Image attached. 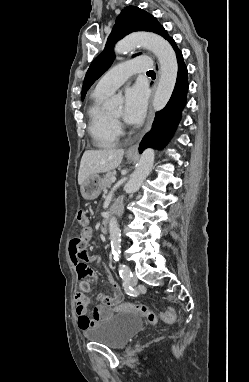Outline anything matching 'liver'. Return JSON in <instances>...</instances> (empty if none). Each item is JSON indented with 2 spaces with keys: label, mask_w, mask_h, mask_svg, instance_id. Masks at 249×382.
<instances>
[{
  "label": "liver",
  "mask_w": 249,
  "mask_h": 382,
  "mask_svg": "<svg viewBox=\"0 0 249 382\" xmlns=\"http://www.w3.org/2000/svg\"><path fill=\"white\" fill-rule=\"evenodd\" d=\"M124 155L123 149L87 150L84 152L78 173V184L82 186L91 175L117 168Z\"/></svg>",
  "instance_id": "6515ba94"
}]
</instances>
